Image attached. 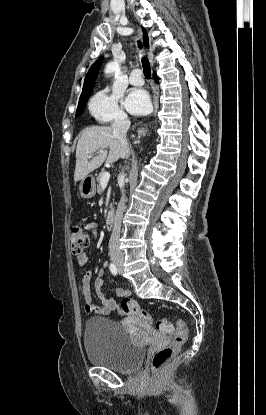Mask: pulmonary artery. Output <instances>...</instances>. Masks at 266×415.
<instances>
[{
    "instance_id": "1",
    "label": "pulmonary artery",
    "mask_w": 266,
    "mask_h": 415,
    "mask_svg": "<svg viewBox=\"0 0 266 415\" xmlns=\"http://www.w3.org/2000/svg\"><path fill=\"white\" fill-rule=\"evenodd\" d=\"M129 81L134 86H142L144 84L142 71L140 69H133L130 73Z\"/></svg>"
}]
</instances>
